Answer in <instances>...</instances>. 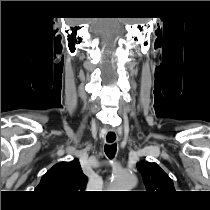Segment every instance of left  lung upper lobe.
<instances>
[{"instance_id":"left-lung-upper-lobe-1","label":"left lung upper lobe","mask_w":210,"mask_h":210,"mask_svg":"<svg viewBox=\"0 0 210 210\" xmlns=\"http://www.w3.org/2000/svg\"><path fill=\"white\" fill-rule=\"evenodd\" d=\"M137 169L141 173L148 192L168 193L174 191L173 181L156 163L140 162Z\"/></svg>"}]
</instances>
